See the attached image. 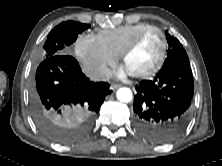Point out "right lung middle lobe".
Masks as SVG:
<instances>
[{
  "label": "right lung middle lobe",
  "instance_id": "1",
  "mask_svg": "<svg viewBox=\"0 0 222 166\" xmlns=\"http://www.w3.org/2000/svg\"><path fill=\"white\" fill-rule=\"evenodd\" d=\"M89 25L74 21H67L56 26L48 35L44 45L45 59L57 54H64V48L70 46ZM36 124L40 131L49 138L63 142L57 137L59 128L54 124V121L43 116L35 117Z\"/></svg>",
  "mask_w": 222,
  "mask_h": 166
}]
</instances>
